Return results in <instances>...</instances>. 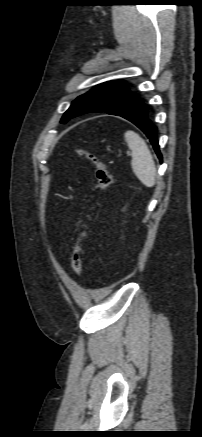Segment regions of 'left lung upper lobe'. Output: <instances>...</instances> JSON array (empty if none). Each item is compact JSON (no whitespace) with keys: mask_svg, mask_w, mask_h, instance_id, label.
I'll use <instances>...</instances> for the list:
<instances>
[{"mask_svg":"<svg viewBox=\"0 0 202 437\" xmlns=\"http://www.w3.org/2000/svg\"><path fill=\"white\" fill-rule=\"evenodd\" d=\"M135 99L127 86L117 81L104 82L76 98L61 122L89 112H108Z\"/></svg>","mask_w":202,"mask_h":437,"instance_id":"1","label":"left lung upper lobe"}]
</instances>
